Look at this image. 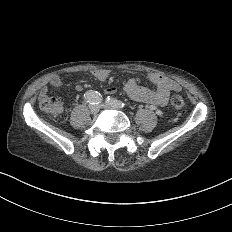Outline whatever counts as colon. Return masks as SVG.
I'll return each instance as SVG.
<instances>
[{
	"label": "colon",
	"instance_id": "colon-1",
	"mask_svg": "<svg viewBox=\"0 0 232 232\" xmlns=\"http://www.w3.org/2000/svg\"><path fill=\"white\" fill-rule=\"evenodd\" d=\"M185 94H183L182 90H173L171 102H175V107H184ZM54 103V98H41L39 101V106H41V110L43 113H58L59 109L57 105H52ZM173 113L184 114V109L173 108ZM48 119H61V114H48Z\"/></svg>",
	"mask_w": 232,
	"mask_h": 232
}]
</instances>
